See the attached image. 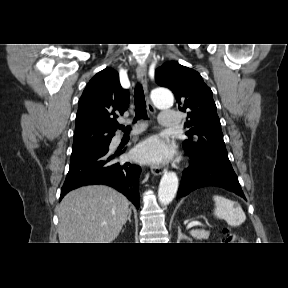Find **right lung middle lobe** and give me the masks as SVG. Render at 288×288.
<instances>
[{
    "mask_svg": "<svg viewBox=\"0 0 288 288\" xmlns=\"http://www.w3.org/2000/svg\"><path fill=\"white\" fill-rule=\"evenodd\" d=\"M108 145H109V142L102 144V145H98V146L73 149L72 154H71V161L80 159V158H82L88 154L102 150V149L106 148Z\"/></svg>",
    "mask_w": 288,
    "mask_h": 288,
    "instance_id": "obj_1",
    "label": "right lung middle lobe"
}]
</instances>
